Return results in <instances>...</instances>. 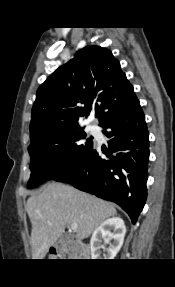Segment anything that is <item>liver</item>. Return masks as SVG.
Returning a JSON list of instances; mask_svg holds the SVG:
<instances>
[{"label": "liver", "mask_w": 175, "mask_h": 287, "mask_svg": "<svg viewBox=\"0 0 175 287\" xmlns=\"http://www.w3.org/2000/svg\"><path fill=\"white\" fill-rule=\"evenodd\" d=\"M32 224L33 259H44L66 226L77 223L76 239L88 238L107 218L117 214L115 207L72 186L51 182L33 194L26 204Z\"/></svg>", "instance_id": "obj_1"}]
</instances>
